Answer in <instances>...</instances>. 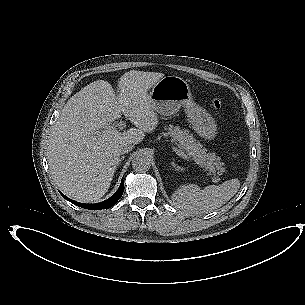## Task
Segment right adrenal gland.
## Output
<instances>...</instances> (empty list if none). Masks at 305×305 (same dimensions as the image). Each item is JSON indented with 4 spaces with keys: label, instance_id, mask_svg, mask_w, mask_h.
Segmentation results:
<instances>
[{
    "label": "right adrenal gland",
    "instance_id": "2a0ac1e0",
    "mask_svg": "<svg viewBox=\"0 0 305 305\" xmlns=\"http://www.w3.org/2000/svg\"><path fill=\"white\" fill-rule=\"evenodd\" d=\"M123 158H124V156H122V157L119 159V164H120V162L122 161Z\"/></svg>",
    "mask_w": 305,
    "mask_h": 305
}]
</instances>
